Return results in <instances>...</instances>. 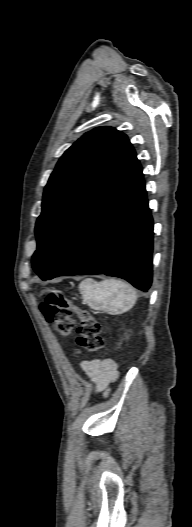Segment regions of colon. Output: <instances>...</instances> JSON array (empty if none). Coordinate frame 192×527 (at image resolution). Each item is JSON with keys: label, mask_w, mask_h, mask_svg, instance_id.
<instances>
[{"label": "colon", "mask_w": 192, "mask_h": 527, "mask_svg": "<svg viewBox=\"0 0 192 527\" xmlns=\"http://www.w3.org/2000/svg\"><path fill=\"white\" fill-rule=\"evenodd\" d=\"M46 321L62 337H70L74 329L73 314L77 315V344L95 353L104 346L99 322L86 310L76 307L60 292L52 291L40 306Z\"/></svg>", "instance_id": "5ec220e1"}]
</instances>
